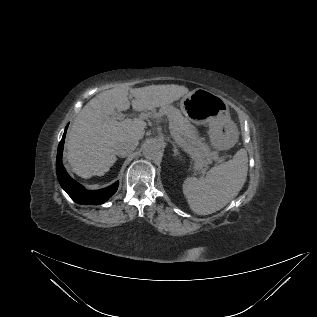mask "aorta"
Segmentation results:
<instances>
[{"mask_svg": "<svg viewBox=\"0 0 317 317\" xmlns=\"http://www.w3.org/2000/svg\"><path fill=\"white\" fill-rule=\"evenodd\" d=\"M143 155L146 159L156 160L162 156V149L158 142L149 140L144 144Z\"/></svg>", "mask_w": 317, "mask_h": 317, "instance_id": "aorta-1", "label": "aorta"}]
</instances>
